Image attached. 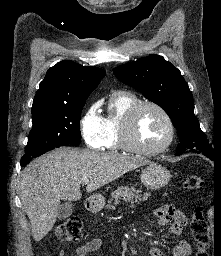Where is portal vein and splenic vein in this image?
Masks as SVG:
<instances>
[{"label": "portal vein and splenic vein", "instance_id": "portal-vein-and-splenic-vein-1", "mask_svg": "<svg viewBox=\"0 0 221 256\" xmlns=\"http://www.w3.org/2000/svg\"><path fill=\"white\" fill-rule=\"evenodd\" d=\"M88 183H89V180H88V179H84L83 182H82V184H84V185H86V184H88Z\"/></svg>", "mask_w": 221, "mask_h": 256}]
</instances>
